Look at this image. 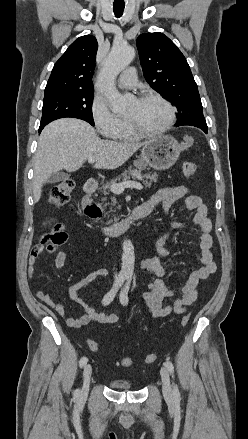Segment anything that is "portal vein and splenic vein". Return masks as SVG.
<instances>
[{"label": "portal vein and splenic vein", "mask_w": 248, "mask_h": 439, "mask_svg": "<svg viewBox=\"0 0 248 439\" xmlns=\"http://www.w3.org/2000/svg\"><path fill=\"white\" fill-rule=\"evenodd\" d=\"M89 163L93 164L95 162L94 159H89ZM125 188H135L137 190H142L143 186L135 181H124L122 183H114L111 185L110 190L115 194H121Z\"/></svg>", "instance_id": "obj_1"}]
</instances>
